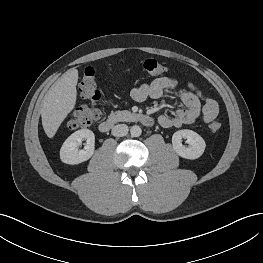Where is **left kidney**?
<instances>
[{
  "mask_svg": "<svg viewBox=\"0 0 263 263\" xmlns=\"http://www.w3.org/2000/svg\"><path fill=\"white\" fill-rule=\"evenodd\" d=\"M183 138L187 139L188 147L182 144ZM172 145L174 151L180 157L191 160L199 158L204 153L206 147L204 139L196 132L188 129L175 132L172 136Z\"/></svg>",
  "mask_w": 263,
  "mask_h": 263,
  "instance_id": "obj_1",
  "label": "left kidney"
}]
</instances>
